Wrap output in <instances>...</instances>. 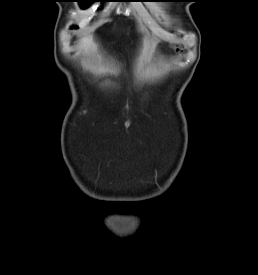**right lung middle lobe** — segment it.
Masks as SVG:
<instances>
[{
	"instance_id": "obj_1",
	"label": "right lung middle lobe",
	"mask_w": 258,
	"mask_h": 275,
	"mask_svg": "<svg viewBox=\"0 0 258 275\" xmlns=\"http://www.w3.org/2000/svg\"><path fill=\"white\" fill-rule=\"evenodd\" d=\"M81 3L82 8L88 7L93 1L96 0H78ZM104 1V0H101Z\"/></svg>"
}]
</instances>
